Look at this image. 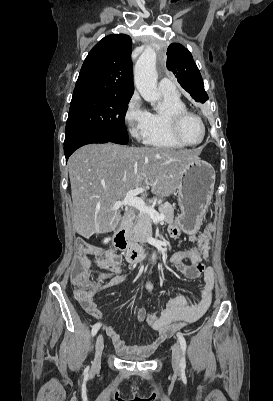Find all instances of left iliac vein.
Returning a JSON list of instances; mask_svg holds the SVG:
<instances>
[{
    "mask_svg": "<svg viewBox=\"0 0 273 401\" xmlns=\"http://www.w3.org/2000/svg\"><path fill=\"white\" fill-rule=\"evenodd\" d=\"M181 351L180 346L176 342L172 347V367L175 373L180 371Z\"/></svg>",
    "mask_w": 273,
    "mask_h": 401,
    "instance_id": "left-iliac-vein-1",
    "label": "left iliac vein"
}]
</instances>
